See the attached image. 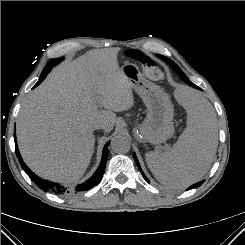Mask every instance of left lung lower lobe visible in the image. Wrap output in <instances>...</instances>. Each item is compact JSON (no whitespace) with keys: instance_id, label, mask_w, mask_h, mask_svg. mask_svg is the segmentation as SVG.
Listing matches in <instances>:
<instances>
[{"instance_id":"left-lung-lower-lobe-1","label":"left lung lower lobe","mask_w":245,"mask_h":245,"mask_svg":"<svg viewBox=\"0 0 245 245\" xmlns=\"http://www.w3.org/2000/svg\"><path fill=\"white\" fill-rule=\"evenodd\" d=\"M181 79H182L184 82H186L188 85H190V86H192V87H194V88L200 89L198 86H196V85H194L192 82H190V80H188L187 77H185L184 75L181 76ZM133 156H134V159H135V161H136V164H137V166H138V168H139V170H140V172H141L143 178L149 183L150 181H149V179L145 176V174L143 173V171H142V169H141V167H140V164H139V162H138V160H137V158H136V155L133 154ZM203 182H204V180H203V181H200V182H198V183H196V184H193L192 186H190L189 189L197 188V187H199L200 185H202ZM189 189H187V190H189Z\"/></svg>"}]
</instances>
